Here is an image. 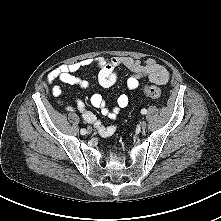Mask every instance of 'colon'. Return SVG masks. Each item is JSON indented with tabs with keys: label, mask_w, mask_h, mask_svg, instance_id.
Returning <instances> with one entry per match:
<instances>
[{
	"label": "colon",
	"mask_w": 221,
	"mask_h": 221,
	"mask_svg": "<svg viewBox=\"0 0 221 221\" xmlns=\"http://www.w3.org/2000/svg\"><path fill=\"white\" fill-rule=\"evenodd\" d=\"M145 96L152 99H158L162 95L160 87L156 85H146L143 89Z\"/></svg>",
	"instance_id": "1"
}]
</instances>
